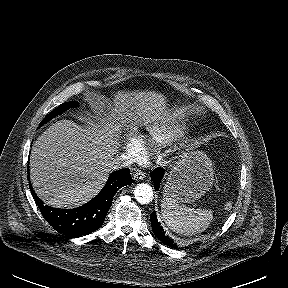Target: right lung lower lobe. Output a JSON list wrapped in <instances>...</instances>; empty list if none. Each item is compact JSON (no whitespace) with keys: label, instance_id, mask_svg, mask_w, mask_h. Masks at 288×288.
Returning <instances> with one entry per match:
<instances>
[{"label":"right lung lower lobe","instance_id":"1","mask_svg":"<svg viewBox=\"0 0 288 288\" xmlns=\"http://www.w3.org/2000/svg\"><path fill=\"white\" fill-rule=\"evenodd\" d=\"M131 183L132 177L129 169L118 170L109 176L105 186L95 198L78 208L68 210L43 205L31 186L30 189L41 214L48 223L56 231L73 238L97 230L104 222L115 193L121 187Z\"/></svg>","mask_w":288,"mask_h":288}]
</instances>
